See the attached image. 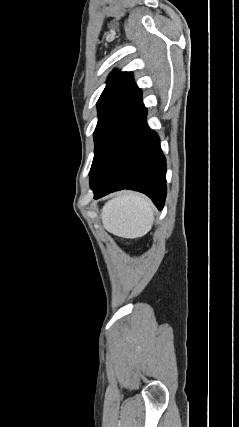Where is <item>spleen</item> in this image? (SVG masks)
I'll list each match as a JSON object with an SVG mask.
<instances>
[{"mask_svg": "<svg viewBox=\"0 0 239 427\" xmlns=\"http://www.w3.org/2000/svg\"><path fill=\"white\" fill-rule=\"evenodd\" d=\"M101 219L103 227L116 236L129 239L142 237L152 228L153 205L141 194L126 192L103 206Z\"/></svg>", "mask_w": 239, "mask_h": 427, "instance_id": "3e777b00", "label": "spleen"}]
</instances>
